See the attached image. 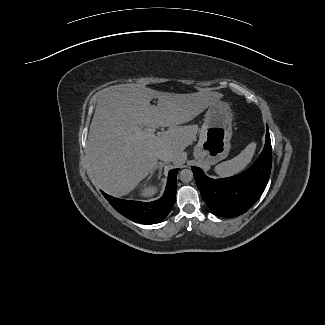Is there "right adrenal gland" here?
I'll list each match as a JSON object with an SVG mask.
<instances>
[{"mask_svg":"<svg viewBox=\"0 0 325 325\" xmlns=\"http://www.w3.org/2000/svg\"><path fill=\"white\" fill-rule=\"evenodd\" d=\"M166 164V162H159L156 167L152 170L151 174H150V177L153 175V173L158 170L159 171V174H158V179H160L161 175H162V169H163V166Z\"/></svg>","mask_w":325,"mask_h":325,"instance_id":"2a0ac1e0","label":"right adrenal gland"}]
</instances>
